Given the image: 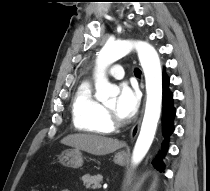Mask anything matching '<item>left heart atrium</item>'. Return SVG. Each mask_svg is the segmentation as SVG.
Masks as SVG:
<instances>
[{"instance_id":"39dd6f15","label":"left heart atrium","mask_w":210,"mask_h":191,"mask_svg":"<svg viewBox=\"0 0 210 191\" xmlns=\"http://www.w3.org/2000/svg\"><path fill=\"white\" fill-rule=\"evenodd\" d=\"M139 102V93L128 83H121L116 103V112L118 116L122 119L132 117L138 109Z\"/></svg>"}]
</instances>
